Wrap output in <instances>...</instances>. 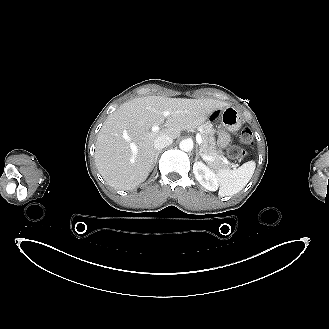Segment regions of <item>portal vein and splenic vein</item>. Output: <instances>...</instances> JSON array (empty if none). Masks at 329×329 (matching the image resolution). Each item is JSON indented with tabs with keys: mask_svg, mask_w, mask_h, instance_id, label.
<instances>
[{
	"mask_svg": "<svg viewBox=\"0 0 329 329\" xmlns=\"http://www.w3.org/2000/svg\"><path fill=\"white\" fill-rule=\"evenodd\" d=\"M163 115H164V117H168L170 115V112L164 111L163 112ZM159 130H160V128L157 125H155V126L152 127V132H158ZM124 137L125 138H128L127 134H125ZM196 141H197L198 145H201V143H202V136H201V134H197ZM132 149H133L134 152H136V150H137L136 147H134V146L132 147ZM204 159L205 160H212V157L204 156Z\"/></svg>",
	"mask_w": 329,
	"mask_h": 329,
	"instance_id": "obj_1",
	"label": "portal vein and splenic vein"
}]
</instances>
